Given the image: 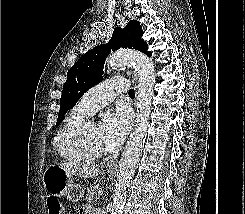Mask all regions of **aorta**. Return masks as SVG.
<instances>
[{"label":"aorta","mask_w":245,"mask_h":214,"mask_svg":"<svg viewBox=\"0 0 245 214\" xmlns=\"http://www.w3.org/2000/svg\"><path fill=\"white\" fill-rule=\"evenodd\" d=\"M108 63L113 69L132 65L139 77L135 126L121 155L111 210V214H123L127 189L135 173L149 127L155 69L148 57L135 51H117L110 55Z\"/></svg>","instance_id":"1"}]
</instances>
